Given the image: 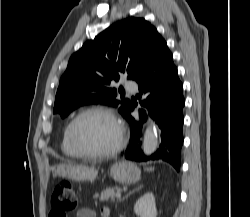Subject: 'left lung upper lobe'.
<instances>
[{"label":"left lung upper lobe","instance_id":"5c2ea615","mask_svg":"<svg viewBox=\"0 0 250 217\" xmlns=\"http://www.w3.org/2000/svg\"><path fill=\"white\" fill-rule=\"evenodd\" d=\"M162 40L148 21L129 17L84 43L71 56L60 79L53 113L64 118L82 105L101 103L121 105L119 112L125 117L131 102L119 101L120 89L111 88L110 84L118 81L121 73L135 80L149 67Z\"/></svg>","mask_w":250,"mask_h":217}]
</instances>
